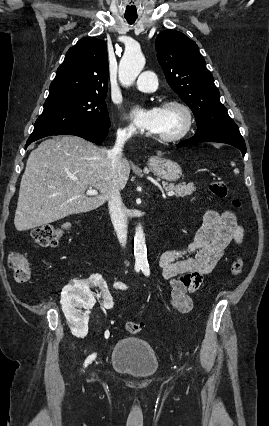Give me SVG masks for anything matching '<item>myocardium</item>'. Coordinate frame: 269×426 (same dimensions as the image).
<instances>
[{
	"instance_id": "obj_1",
	"label": "myocardium",
	"mask_w": 269,
	"mask_h": 426,
	"mask_svg": "<svg viewBox=\"0 0 269 426\" xmlns=\"http://www.w3.org/2000/svg\"><path fill=\"white\" fill-rule=\"evenodd\" d=\"M162 108H177L181 110L184 115V124L177 133L168 136L155 135V139L162 143H175L180 141L190 132L193 126L194 118L190 107L181 101L170 100L165 102Z\"/></svg>"
}]
</instances>
